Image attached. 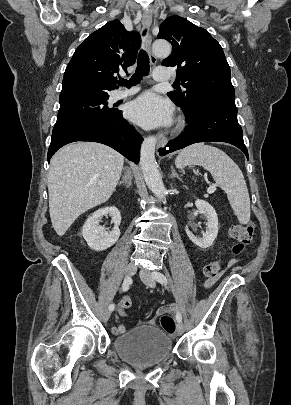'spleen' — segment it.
Wrapping results in <instances>:
<instances>
[{
  "instance_id": "1",
  "label": "spleen",
  "mask_w": 291,
  "mask_h": 405,
  "mask_svg": "<svg viewBox=\"0 0 291 405\" xmlns=\"http://www.w3.org/2000/svg\"><path fill=\"white\" fill-rule=\"evenodd\" d=\"M177 168L200 165L208 170L216 184L227 193L229 203L241 224L250 220V198L242 171L222 150L202 143L183 149L175 160Z\"/></svg>"
}]
</instances>
